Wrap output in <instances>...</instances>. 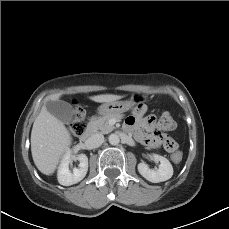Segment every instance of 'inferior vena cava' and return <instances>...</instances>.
I'll use <instances>...</instances> for the list:
<instances>
[{
  "label": "inferior vena cava",
  "instance_id": "inferior-vena-cava-1",
  "mask_svg": "<svg viewBox=\"0 0 229 229\" xmlns=\"http://www.w3.org/2000/svg\"><path fill=\"white\" fill-rule=\"evenodd\" d=\"M103 142L104 136L101 133H95L88 139L89 145L93 148L101 146Z\"/></svg>",
  "mask_w": 229,
  "mask_h": 229
}]
</instances>
